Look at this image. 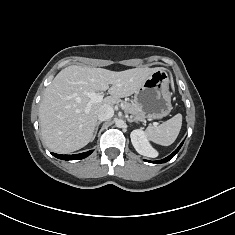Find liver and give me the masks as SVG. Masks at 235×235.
Here are the masks:
<instances>
[{
    "label": "liver",
    "mask_w": 235,
    "mask_h": 235,
    "mask_svg": "<svg viewBox=\"0 0 235 235\" xmlns=\"http://www.w3.org/2000/svg\"><path fill=\"white\" fill-rule=\"evenodd\" d=\"M158 70L165 68L138 67L117 72L72 65L61 70L45 89L39 107L41 134L47 147L57 153H70L86 146L92 139L99 109L134 94ZM106 90L110 96L95 103L85 94Z\"/></svg>",
    "instance_id": "1"
}]
</instances>
